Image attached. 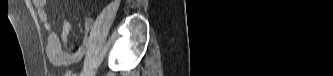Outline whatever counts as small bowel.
I'll list each match as a JSON object with an SVG mask.
<instances>
[{"instance_id": "1", "label": "small bowel", "mask_w": 333, "mask_h": 76, "mask_svg": "<svg viewBox=\"0 0 333 76\" xmlns=\"http://www.w3.org/2000/svg\"><path fill=\"white\" fill-rule=\"evenodd\" d=\"M32 2L37 8L39 19L44 23V27L48 32L46 51L51 63L55 66L61 67L77 62L90 42L93 19L88 17L84 21L85 37L83 43L77 46H70L69 51H64L62 49L60 37L53 31L52 25L49 22V11L46 7V1L33 0ZM62 35L66 39L70 35V24L68 22H64L62 25Z\"/></svg>"}]
</instances>
